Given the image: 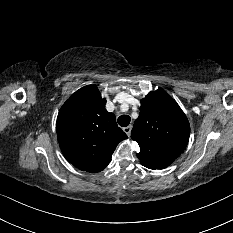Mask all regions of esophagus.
Returning <instances> with one entry per match:
<instances>
[{
  "label": "esophagus",
  "instance_id": "obj_1",
  "mask_svg": "<svg viewBox=\"0 0 233 233\" xmlns=\"http://www.w3.org/2000/svg\"><path fill=\"white\" fill-rule=\"evenodd\" d=\"M131 129H132V126H127L123 128V131L127 134V136H130Z\"/></svg>",
  "mask_w": 233,
  "mask_h": 233
}]
</instances>
